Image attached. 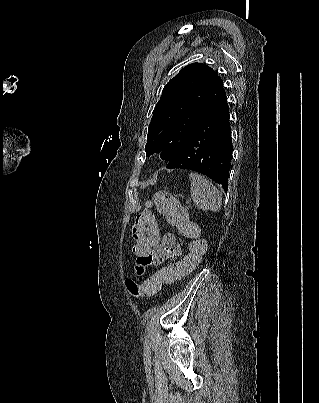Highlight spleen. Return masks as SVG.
Instances as JSON below:
<instances>
[{
  "mask_svg": "<svg viewBox=\"0 0 319 403\" xmlns=\"http://www.w3.org/2000/svg\"><path fill=\"white\" fill-rule=\"evenodd\" d=\"M190 193L196 206L202 210L217 212L221 208V192L204 176L190 173Z\"/></svg>",
  "mask_w": 319,
  "mask_h": 403,
  "instance_id": "3e777b00",
  "label": "spleen"
}]
</instances>
